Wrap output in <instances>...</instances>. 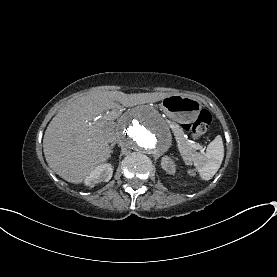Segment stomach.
I'll use <instances>...</instances> for the list:
<instances>
[{
  "label": "stomach",
  "instance_id": "0dacf381",
  "mask_svg": "<svg viewBox=\"0 0 277 277\" xmlns=\"http://www.w3.org/2000/svg\"><path fill=\"white\" fill-rule=\"evenodd\" d=\"M202 103L183 95H170L161 102L162 111L172 120L180 124L195 122L202 109Z\"/></svg>",
  "mask_w": 277,
  "mask_h": 277
}]
</instances>
